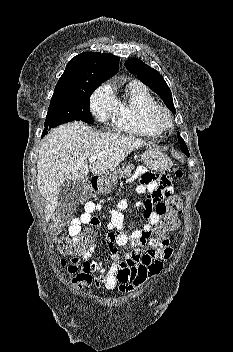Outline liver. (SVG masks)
Instances as JSON below:
<instances>
[{"label":"liver","instance_id":"6515ba94","mask_svg":"<svg viewBox=\"0 0 233 352\" xmlns=\"http://www.w3.org/2000/svg\"><path fill=\"white\" fill-rule=\"evenodd\" d=\"M146 145L135 137L96 132L81 121L51 131L39 150L37 162V185L46 199V221L57 207L58 189L65 181H82L89 169L95 175L109 174L128 154ZM91 156L97 159L89 165Z\"/></svg>","mask_w":233,"mask_h":352}]
</instances>
